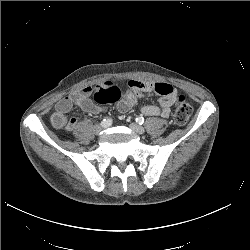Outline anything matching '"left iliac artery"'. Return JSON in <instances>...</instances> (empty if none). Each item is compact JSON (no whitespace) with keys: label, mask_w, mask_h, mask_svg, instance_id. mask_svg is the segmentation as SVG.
Instances as JSON below:
<instances>
[{"label":"left iliac artery","mask_w":250,"mask_h":250,"mask_svg":"<svg viewBox=\"0 0 250 250\" xmlns=\"http://www.w3.org/2000/svg\"><path fill=\"white\" fill-rule=\"evenodd\" d=\"M136 122L138 123V124H143L144 123V117H142V116H139V117H137L136 118Z\"/></svg>","instance_id":"left-iliac-artery-1"}]
</instances>
